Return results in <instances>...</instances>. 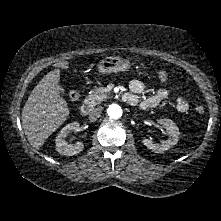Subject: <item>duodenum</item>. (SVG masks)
Masks as SVG:
<instances>
[{"label": "duodenum", "instance_id": "410a0bca", "mask_svg": "<svg viewBox=\"0 0 221 221\" xmlns=\"http://www.w3.org/2000/svg\"><path fill=\"white\" fill-rule=\"evenodd\" d=\"M122 100L125 103H128L130 105H134L136 102V99L133 95H131L130 93H125L122 95ZM80 111L83 115H88L89 112L91 111V105L89 103H85L81 106Z\"/></svg>", "mask_w": 221, "mask_h": 221}]
</instances>
